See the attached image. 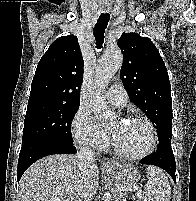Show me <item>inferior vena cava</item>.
<instances>
[{
  "label": "inferior vena cava",
  "instance_id": "1",
  "mask_svg": "<svg viewBox=\"0 0 196 201\" xmlns=\"http://www.w3.org/2000/svg\"><path fill=\"white\" fill-rule=\"evenodd\" d=\"M77 157L81 162H93L94 152L91 150L89 146L83 145L79 148Z\"/></svg>",
  "mask_w": 196,
  "mask_h": 201
}]
</instances>
